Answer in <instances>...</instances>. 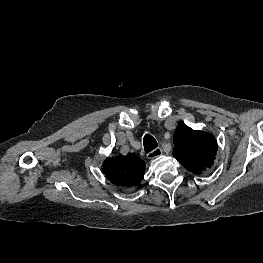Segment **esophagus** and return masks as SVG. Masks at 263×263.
<instances>
[{
  "mask_svg": "<svg viewBox=\"0 0 263 263\" xmlns=\"http://www.w3.org/2000/svg\"><path fill=\"white\" fill-rule=\"evenodd\" d=\"M161 154H162V149L160 147H158V148L152 150L151 152H149L147 154V158L148 159H154V158L159 157Z\"/></svg>",
  "mask_w": 263,
  "mask_h": 263,
  "instance_id": "obj_1",
  "label": "esophagus"
}]
</instances>
